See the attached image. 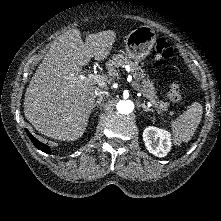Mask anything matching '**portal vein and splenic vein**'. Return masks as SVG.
<instances>
[{
  "instance_id": "portal-vein-and-splenic-vein-1",
  "label": "portal vein and splenic vein",
  "mask_w": 221,
  "mask_h": 221,
  "mask_svg": "<svg viewBox=\"0 0 221 221\" xmlns=\"http://www.w3.org/2000/svg\"><path fill=\"white\" fill-rule=\"evenodd\" d=\"M78 78L81 81H84L85 83L98 84L99 86H104L106 84L105 78L103 76L97 75V74H88V76H86V77L84 75L80 74ZM131 85H132V87L135 88L133 81H132ZM136 90H138V89H136Z\"/></svg>"
}]
</instances>
